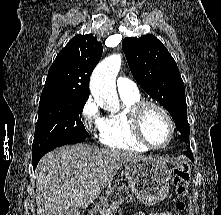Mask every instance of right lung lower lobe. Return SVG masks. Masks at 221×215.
<instances>
[{"label": "right lung lower lobe", "instance_id": "obj_1", "mask_svg": "<svg viewBox=\"0 0 221 215\" xmlns=\"http://www.w3.org/2000/svg\"><path fill=\"white\" fill-rule=\"evenodd\" d=\"M85 139H86V138H85ZM85 139L80 140V141H78V142H82V141H84ZM78 142H75V143H78ZM53 149H54V148H53ZM53 149H50V150H48V151H45V152H42V153L37 154V155H35V156H32V164H33L34 170H35V168L37 167V164H38L39 160L41 159V157H42L44 154H46L47 152H49V151H51V150H53Z\"/></svg>", "mask_w": 221, "mask_h": 215}]
</instances>
